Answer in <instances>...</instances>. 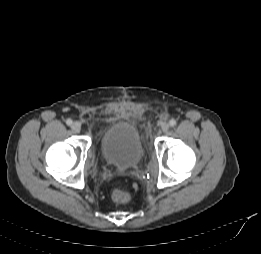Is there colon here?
Segmentation results:
<instances>
[{
	"instance_id": "obj_1",
	"label": "colon",
	"mask_w": 261,
	"mask_h": 254,
	"mask_svg": "<svg viewBox=\"0 0 261 254\" xmlns=\"http://www.w3.org/2000/svg\"><path fill=\"white\" fill-rule=\"evenodd\" d=\"M111 197L116 203H127L130 200V193L124 190L116 189L112 192Z\"/></svg>"
}]
</instances>
